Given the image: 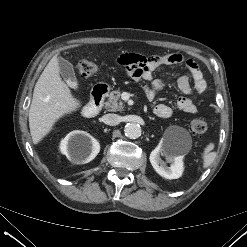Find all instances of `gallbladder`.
I'll return each mask as SVG.
<instances>
[{"instance_id":"1","label":"gallbladder","mask_w":247,"mask_h":247,"mask_svg":"<svg viewBox=\"0 0 247 247\" xmlns=\"http://www.w3.org/2000/svg\"><path fill=\"white\" fill-rule=\"evenodd\" d=\"M57 63L60 69V74L70 87L75 88L77 78L74 72L73 65L62 57L57 58Z\"/></svg>"}]
</instances>
